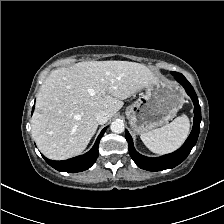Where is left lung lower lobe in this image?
Returning <instances> with one entry per match:
<instances>
[{"mask_svg":"<svg viewBox=\"0 0 224 224\" xmlns=\"http://www.w3.org/2000/svg\"><path fill=\"white\" fill-rule=\"evenodd\" d=\"M174 77L185 88L187 94L191 97L195 106L193 129L183 146L171 154H167L158 158L145 157L135 150L132 138L128 131L125 130V138L128 142L129 153L132 159L138 167L146 169L148 171H160L164 169L174 168L186 159L198 139L201 122V108L198 102L197 95L191 84L182 74L178 73Z\"/></svg>","mask_w":224,"mask_h":224,"instance_id":"1","label":"left lung lower lobe"}]
</instances>
